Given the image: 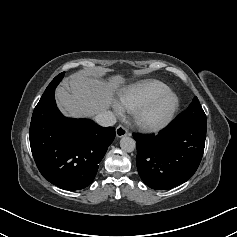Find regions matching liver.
I'll return each mask as SVG.
<instances>
[{
	"label": "liver",
	"instance_id": "1",
	"mask_svg": "<svg viewBox=\"0 0 237 237\" xmlns=\"http://www.w3.org/2000/svg\"><path fill=\"white\" fill-rule=\"evenodd\" d=\"M124 82L122 75L104 81L85 72H78L56 89V101L65 116L93 117L110 107L115 92Z\"/></svg>",
	"mask_w": 237,
	"mask_h": 237
}]
</instances>
